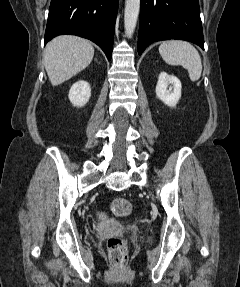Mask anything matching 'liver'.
Returning a JSON list of instances; mask_svg holds the SVG:
<instances>
[{
  "label": "liver",
  "instance_id": "liver-1",
  "mask_svg": "<svg viewBox=\"0 0 240 287\" xmlns=\"http://www.w3.org/2000/svg\"><path fill=\"white\" fill-rule=\"evenodd\" d=\"M93 56L94 48L86 39L72 35L52 39L44 51V66L52 86L60 85L85 69Z\"/></svg>",
  "mask_w": 240,
  "mask_h": 287
}]
</instances>
